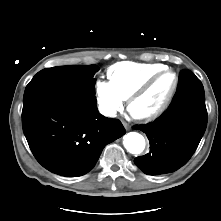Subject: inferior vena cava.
<instances>
[{
  "label": "inferior vena cava",
  "mask_w": 221,
  "mask_h": 221,
  "mask_svg": "<svg viewBox=\"0 0 221 221\" xmlns=\"http://www.w3.org/2000/svg\"><path fill=\"white\" fill-rule=\"evenodd\" d=\"M102 113L105 116L113 117V116H115L116 111L114 109L105 108V109L102 110Z\"/></svg>",
  "instance_id": "1"
}]
</instances>
